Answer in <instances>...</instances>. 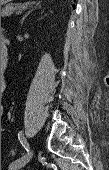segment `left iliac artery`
I'll return each mask as SVG.
<instances>
[{"label": "left iliac artery", "instance_id": "44dca946", "mask_svg": "<svg viewBox=\"0 0 109 170\" xmlns=\"http://www.w3.org/2000/svg\"><path fill=\"white\" fill-rule=\"evenodd\" d=\"M18 138H19L22 146H23V147L25 148V150L28 152V151H29V145H28V143H27V141H26V139H25L24 134H23L22 131H20V132L18 133Z\"/></svg>", "mask_w": 109, "mask_h": 170}]
</instances>
